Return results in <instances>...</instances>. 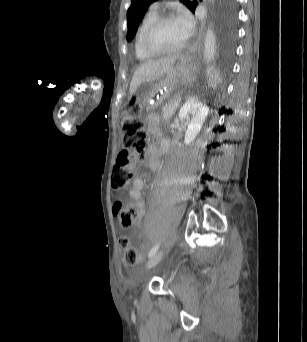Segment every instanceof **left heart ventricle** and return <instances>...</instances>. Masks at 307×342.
<instances>
[{"instance_id":"1","label":"left heart ventricle","mask_w":307,"mask_h":342,"mask_svg":"<svg viewBox=\"0 0 307 342\" xmlns=\"http://www.w3.org/2000/svg\"><path fill=\"white\" fill-rule=\"evenodd\" d=\"M186 39L178 22H164L153 33L150 45L158 51H167L180 47Z\"/></svg>"}]
</instances>
